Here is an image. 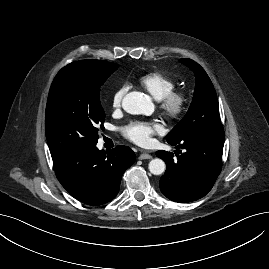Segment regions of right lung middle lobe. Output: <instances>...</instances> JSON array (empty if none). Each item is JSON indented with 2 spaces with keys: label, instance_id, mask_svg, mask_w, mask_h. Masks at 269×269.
<instances>
[{
  "label": "right lung middle lobe",
  "instance_id": "obj_1",
  "mask_svg": "<svg viewBox=\"0 0 269 269\" xmlns=\"http://www.w3.org/2000/svg\"><path fill=\"white\" fill-rule=\"evenodd\" d=\"M118 68L103 60H81L62 68L51 85L45 132L52 159L96 145L105 113L100 87Z\"/></svg>",
  "mask_w": 269,
  "mask_h": 269
}]
</instances>
